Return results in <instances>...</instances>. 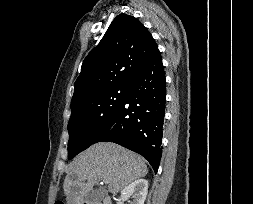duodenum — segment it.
Returning a JSON list of instances; mask_svg holds the SVG:
<instances>
[{"mask_svg":"<svg viewBox=\"0 0 253 204\" xmlns=\"http://www.w3.org/2000/svg\"><path fill=\"white\" fill-rule=\"evenodd\" d=\"M87 204H97V203H87ZM100 204H112L110 197H103Z\"/></svg>","mask_w":253,"mask_h":204,"instance_id":"obj_1","label":"duodenum"}]
</instances>
